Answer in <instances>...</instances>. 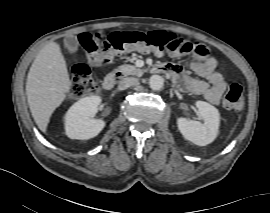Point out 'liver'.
<instances>
[{
    "mask_svg": "<svg viewBox=\"0 0 270 213\" xmlns=\"http://www.w3.org/2000/svg\"><path fill=\"white\" fill-rule=\"evenodd\" d=\"M71 81L61 48L47 43L34 59L27 76V101L38 128L45 132L52 113L66 98Z\"/></svg>",
    "mask_w": 270,
    "mask_h": 213,
    "instance_id": "liver-1",
    "label": "liver"
}]
</instances>
